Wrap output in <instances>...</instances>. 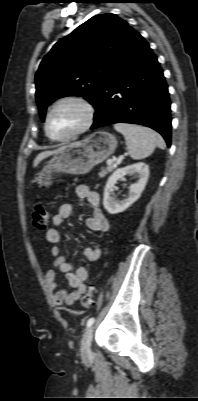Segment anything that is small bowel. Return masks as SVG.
<instances>
[{
	"mask_svg": "<svg viewBox=\"0 0 198 401\" xmlns=\"http://www.w3.org/2000/svg\"><path fill=\"white\" fill-rule=\"evenodd\" d=\"M78 198L86 199L91 209V216L86 219V227L89 231L95 233H105L109 230V221L104 216L100 208V197L95 191H90L85 185H79L75 189ZM72 203H63L58 212L53 216L51 226L46 231V239L55 246L51 249V256L54 258L55 270H49L45 274V282L52 294V300L55 306L62 307L74 304L84 293L88 272L86 268L79 267L72 270L71 264L67 261L62 250L57 246L62 239L59 227L63 221L69 218L73 212ZM106 249L91 246L84 250V256L88 261H97ZM58 273L64 274L71 287V291L59 289L57 283Z\"/></svg>",
	"mask_w": 198,
	"mask_h": 401,
	"instance_id": "c3829d8e",
	"label": "small bowel"
}]
</instances>
